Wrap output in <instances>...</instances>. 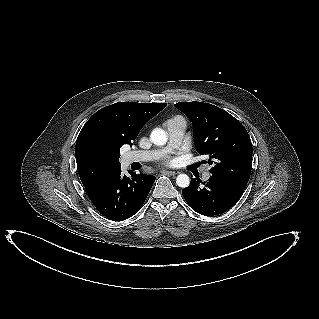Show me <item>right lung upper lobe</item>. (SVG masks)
<instances>
[{"label":"right lung upper lobe","mask_w":319,"mask_h":319,"mask_svg":"<svg viewBox=\"0 0 319 319\" xmlns=\"http://www.w3.org/2000/svg\"><path fill=\"white\" fill-rule=\"evenodd\" d=\"M166 105L119 102L97 111L76 141L77 170L84 187L121 169L120 148L132 145L143 125Z\"/></svg>","instance_id":"obj_1"}]
</instances>
